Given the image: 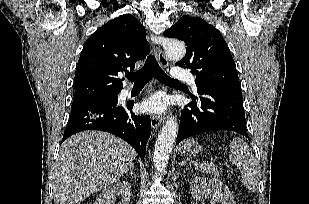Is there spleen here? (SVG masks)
Wrapping results in <instances>:
<instances>
[{
    "label": "spleen",
    "mask_w": 309,
    "mask_h": 204,
    "mask_svg": "<svg viewBox=\"0 0 309 204\" xmlns=\"http://www.w3.org/2000/svg\"><path fill=\"white\" fill-rule=\"evenodd\" d=\"M229 160L241 171L242 184L252 192L258 190L260 171L247 143L238 137L231 141Z\"/></svg>",
    "instance_id": "3e777b00"
}]
</instances>
